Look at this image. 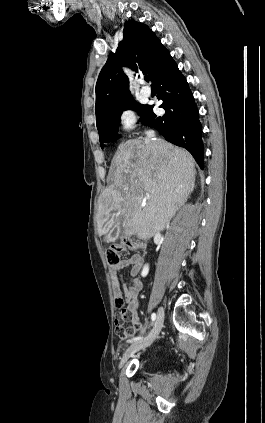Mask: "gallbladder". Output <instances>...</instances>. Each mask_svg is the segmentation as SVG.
<instances>
[{"label": "gallbladder", "instance_id": "gallbladder-1", "mask_svg": "<svg viewBox=\"0 0 265 423\" xmlns=\"http://www.w3.org/2000/svg\"><path fill=\"white\" fill-rule=\"evenodd\" d=\"M120 229V224H116L111 230V232L106 236L105 241L107 243L115 241L118 238Z\"/></svg>", "mask_w": 265, "mask_h": 423}]
</instances>
